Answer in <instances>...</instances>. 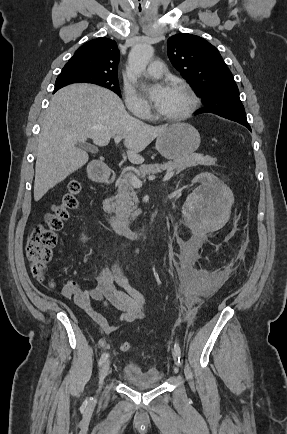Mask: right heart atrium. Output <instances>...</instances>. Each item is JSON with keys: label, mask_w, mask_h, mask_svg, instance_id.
<instances>
[{"label": "right heart atrium", "mask_w": 287, "mask_h": 434, "mask_svg": "<svg viewBox=\"0 0 287 434\" xmlns=\"http://www.w3.org/2000/svg\"><path fill=\"white\" fill-rule=\"evenodd\" d=\"M124 97L128 109L135 115H149L148 102L132 86H124Z\"/></svg>", "instance_id": "right-heart-atrium-1"}]
</instances>
